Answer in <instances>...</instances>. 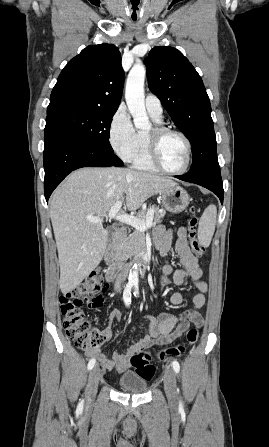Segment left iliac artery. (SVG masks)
I'll return each instance as SVG.
<instances>
[{
	"label": "left iliac artery",
	"mask_w": 269,
	"mask_h": 447,
	"mask_svg": "<svg viewBox=\"0 0 269 447\" xmlns=\"http://www.w3.org/2000/svg\"><path fill=\"white\" fill-rule=\"evenodd\" d=\"M138 294V285L135 284V292L134 295L136 296ZM173 365V369L175 370L176 373H178L180 371V365L177 361H173L172 363ZM180 407H182V404L180 403Z\"/></svg>",
	"instance_id": "left-iliac-artery-1"
}]
</instances>
